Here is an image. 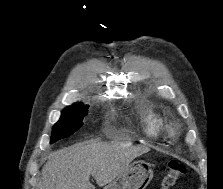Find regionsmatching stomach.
<instances>
[{
	"label": "stomach",
	"mask_w": 223,
	"mask_h": 189,
	"mask_svg": "<svg viewBox=\"0 0 223 189\" xmlns=\"http://www.w3.org/2000/svg\"><path fill=\"white\" fill-rule=\"evenodd\" d=\"M153 178L149 163L139 160L128 165L104 189H145Z\"/></svg>",
	"instance_id": "stomach-1"
}]
</instances>
